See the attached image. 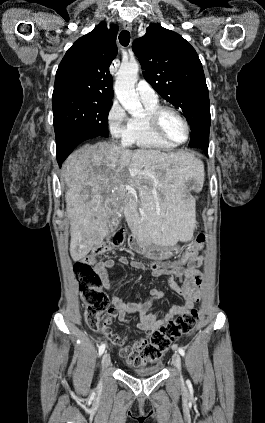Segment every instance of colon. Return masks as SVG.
<instances>
[{
	"label": "colon",
	"instance_id": "obj_1",
	"mask_svg": "<svg viewBox=\"0 0 265 423\" xmlns=\"http://www.w3.org/2000/svg\"><path fill=\"white\" fill-rule=\"evenodd\" d=\"M124 241L125 233L120 229L107 242L94 247L90 253L77 261L73 266L74 275L79 282L80 295L86 305V323L92 330L101 331L108 337L113 335L110 328L113 311L110 309V302L107 295L101 290L102 280L93 268V265L99 257L123 245ZM204 242L205 235L199 234L196 242L190 245L185 254L177 261L172 263L155 261L152 263L151 268L153 270L160 268L173 269L192 262L196 255L200 253ZM197 321L198 313L195 309H192L155 330L151 334L150 341L142 345L144 362L137 363L136 366H142L146 363H156L168 350L171 342L194 330Z\"/></svg>",
	"mask_w": 265,
	"mask_h": 423
}]
</instances>
